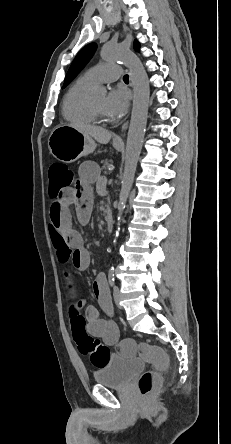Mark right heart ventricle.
<instances>
[{"label":"right heart ventricle","instance_id":"obj_1","mask_svg":"<svg viewBox=\"0 0 231 444\" xmlns=\"http://www.w3.org/2000/svg\"><path fill=\"white\" fill-rule=\"evenodd\" d=\"M94 86L95 84L82 76L69 88L62 106V113L67 121L78 124L94 123L95 118L89 106V93Z\"/></svg>","mask_w":231,"mask_h":444}]
</instances>
